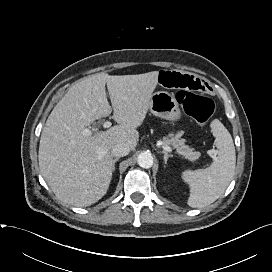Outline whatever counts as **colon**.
Returning a JSON list of instances; mask_svg holds the SVG:
<instances>
[{
	"label": "colon",
	"mask_w": 272,
	"mask_h": 272,
	"mask_svg": "<svg viewBox=\"0 0 272 272\" xmlns=\"http://www.w3.org/2000/svg\"><path fill=\"white\" fill-rule=\"evenodd\" d=\"M176 98L185 113L201 125L206 124L214 114L215 105L209 97L182 90L176 94Z\"/></svg>",
	"instance_id": "obj_1"
}]
</instances>
